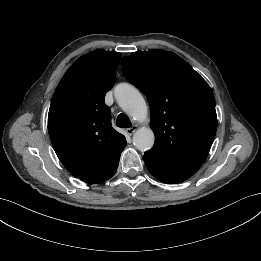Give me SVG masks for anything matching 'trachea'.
<instances>
[{"label":"trachea","instance_id":"trachea-1","mask_svg":"<svg viewBox=\"0 0 261 261\" xmlns=\"http://www.w3.org/2000/svg\"><path fill=\"white\" fill-rule=\"evenodd\" d=\"M116 124L120 128H130L132 126L129 117L126 114H119L116 120Z\"/></svg>","mask_w":261,"mask_h":261}]
</instances>
